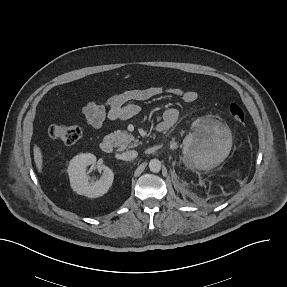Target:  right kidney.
Here are the masks:
<instances>
[{
  "label": "right kidney",
  "instance_id": "right-kidney-1",
  "mask_svg": "<svg viewBox=\"0 0 287 287\" xmlns=\"http://www.w3.org/2000/svg\"><path fill=\"white\" fill-rule=\"evenodd\" d=\"M95 163L96 156L91 153L79 154L70 161L67 171L71 188L77 194L97 198L107 193L112 186L114 173L107 166L99 167V170L102 171L99 180L89 181L86 170L88 166L93 167Z\"/></svg>",
  "mask_w": 287,
  "mask_h": 287
}]
</instances>
